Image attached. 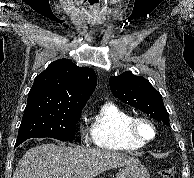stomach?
<instances>
[{
	"instance_id": "1",
	"label": "stomach",
	"mask_w": 194,
	"mask_h": 178,
	"mask_svg": "<svg viewBox=\"0 0 194 178\" xmlns=\"http://www.w3.org/2000/svg\"><path fill=\"white\" fill-rule=\"evenodd\" d=\"M117 178H149V173L146 167L140 163L131 164L120 170Z\"/></svg>"
}]
</instances>
